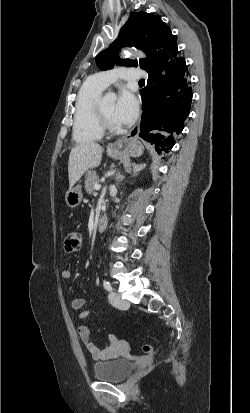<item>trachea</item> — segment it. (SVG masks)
Wrapping results in <instances>:
<instances>
[{"label":"trachea","instance_id":"obj_1","mask_svg":"<svg viewBox=\"0 0 250 413\" xmlns=\"http://www.w3.org/2000/svg\"><path fill=\"white\" fill-rule=\"evenodd\" d=\"M144 82H145L144 79L139 80V83H144Z\"/></svg>","mask_w":250,"mask_h":413}]
</instances>
